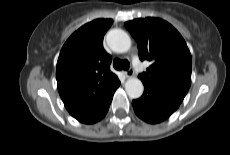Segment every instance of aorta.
Instances as JSON below:
<instances>
[{"mask_svg": "<svg viewBox=\"0 0 230 155\" xmlns=\"http://www.w3.org/2000/svg\"><path fill=\"white\" fill-rule=\"evenodd\" d=\"M107 43L117 53H125L131 47L129 35L121 29H112L107 34ZM125 90L129 98L137 99L142 96L144 87L140 79L132 77L125 83Z\"/></svg>", "mask_w": 230, "mask_h": 155, "instance_id": "1", "label": "aorta"}]
</instances>
